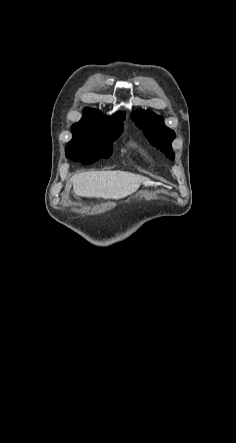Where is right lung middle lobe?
<instances>
[{
	"label": "right lung middle lobe",
	"mask_w": 236,
	"mask_h": 443,
	"mask_svg": "<svg viewBox=\"0 0 236 443\" xmlns=\"http://www.w3.org/2000/svg\"><path fill=\"white\" fill-rule=\"evenodd\" d=\"M122 130L123 121L81 119L72 126L73 138L66 149L89 146L112 151V143L120 136Z\"/></svg>",
	"instance_id": "obj_1"
}]
</instances>
